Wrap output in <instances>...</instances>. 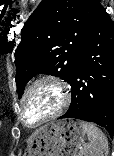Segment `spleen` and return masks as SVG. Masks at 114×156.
<instances>
[{
    "mask_svg": "<svg viewBox=\"0 0 114 156\" xmlns=\"http://www.w3.org/2000/svg\"><path fill=\"white\" fill-rule=\"evenodd\" d=\"M80 125L89 141L81 150L80 156H108V140L104 133L92 123L81 121Z\"/></svg>",
    "mask_w": 114,
    "mask_h": 156,
    "instance_id": "obj_1",
    "label": "spleen"
}]
</instances>
